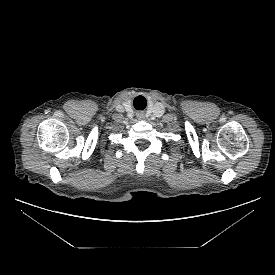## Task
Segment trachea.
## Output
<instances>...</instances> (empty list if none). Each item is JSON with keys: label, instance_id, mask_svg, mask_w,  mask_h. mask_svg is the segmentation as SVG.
Wrapping results in <instances>:
<instances>
[{"label": "trachea", "instance_id": "1", "mask_svg": "<svg viewBox=\"0 0 275 275\" xmlns=\"http://www.w3.org/2000/svg\"><path fill=\"white\" fill-rule=\"evenodd\" d=\"M137 99H142L143 101L146 102V99L144 97H142V96H138L135 100H137Z\"/></svg>", "mask_w": 275, "mask_h": 275}]
</instances>
